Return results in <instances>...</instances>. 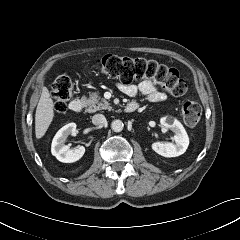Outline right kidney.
<instances>
[{
    "label": "right kidney",
    "instance_id": "ca27d5eb",
    "mask_svg": "<svg viewBox=\"0 0 240 240\" xmlns=\"http://www.w3.org/2000/svg\"><path fill=\"white\" fill-rule=\"evenodd\" d=\"M76 132V124L69 123L63 126L54 136L51 152L59 161L64 163H73L79 160L85 153V148L80 146L75 149H70L68 145H65L66 138Z\"/></svg>",
    "mask_w": 240,
    "mask_h": 240
}]
</instances>
